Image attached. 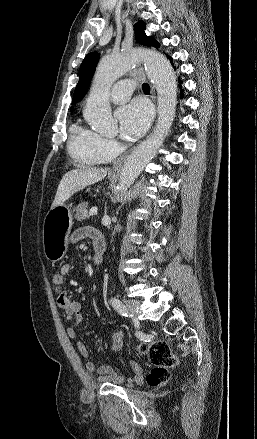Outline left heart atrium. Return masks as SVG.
Wrapping results in <instances>:
<instances>
[{"label": "left heart atrium", "instance_id": "left-heart-atrium-1", "mask_svg": "<svg viewBox=\"0 0 257 439\" xmlns=\"http://www.w3.org/2000/svg\"><path fill=\"white\" fill-rule=\"evenodd\" d=\"M116 118L123 138L133 139L144 133L151 120V109L142 100H135L121 107Z\"/></svg>", "mask_w": 257, "mask_h": 439}]
</instances>
